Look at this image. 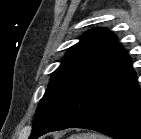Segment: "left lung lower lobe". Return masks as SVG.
Segmentation results:
<instances>
[{
    "label": "left lung lower lobe",
    "mask_w": 141,
    "mask_h": 139,
    "mask_svg": "<svg viewBox=\"0 0 141 139\" xmlns=\"http://www.w3.org/2000/svg\"><path fill=\"white\" fill-rule=\"evenodd\" d=\"M141 98L126 50L82 82L35 136L67 128L99 131L114 139H141Z\"/></svg>",
    "instance_id": "obj_1"
}]
</instances>
